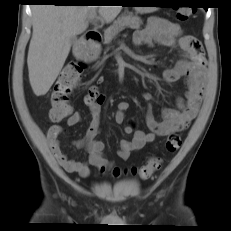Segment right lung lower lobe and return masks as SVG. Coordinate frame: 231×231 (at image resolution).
<instances>
[{
	"mask_svg": "<svg viewBox=\"0 0 231 231\" xmlns=\"http://www.w3.org/2000/svg\"><path fill=\"white\" fill-rule=\"evenodd\" d=\"M31 3H54L55 5H80L79 3L72 2L73 0H28Z\"/></svg>",
	"mask_w": 231,
	"mask_h": 231,
	"instance_id": "1",
	"label": "right lung lower lobe"
}]
</instances>
